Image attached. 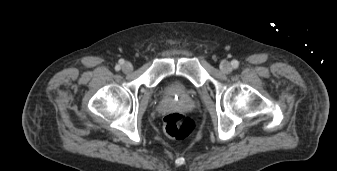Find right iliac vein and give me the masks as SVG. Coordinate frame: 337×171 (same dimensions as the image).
<instances>
[{
	"mask_svg": "<svg viewBox=\"0 0 337 171\" xmlns=\"http://www.w3.org/2000/svg\"><path fill=\"white\" fill-rule=\"evenodd\" d=\"M133 69L132 67V64L130 62H125L123 65H122V70L125 72V73H129L131 72Z\"/></svg>",
	"mask_w": 337,
	"mask_h": 171,
	"instance_id": "63e3f726",
	"label": "right iliac vein"
}]
</instances>
